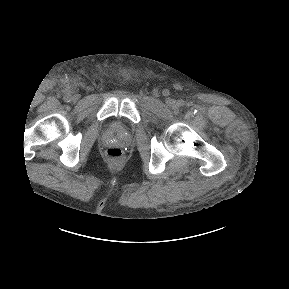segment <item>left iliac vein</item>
Masks as SVG:
<instances>
[{"label": "left iliac vein", "mask_w": 289, "mask_h": 289, "mask_svg": "<svg viewBox=\"0 0 289 289\" xmlns=\"http://www.w3.org/2000/svg\"><path fill=\"white\" fill-rule=\"evenodd\" d=\"M167 104H168V106H170V107H174V106H175V101L172 100V99H170V100L167 101Z\"/></svg>", "instance_id": "4c4485c4"}]
</instances>
